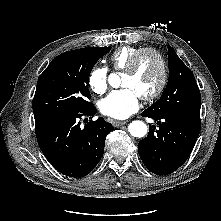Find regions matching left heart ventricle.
<instances>
[{"instance_id": "left-heart-ventricle-1", "label": "left heart ventricle", "mask_w": 221, "mask_h": 221, "mask_svg": "<svg viewBox=\"0 0 221 221\" xmlns=\"http://www.w3.org/2000/svg\"><path fill=\"white\" fill-rule=\"evenodd\" d=\"M161 78L159 61L152 54H144L134 74H125L122 87L132 88L140 97L151 93Z\"/></svg>"}]
</instances>
